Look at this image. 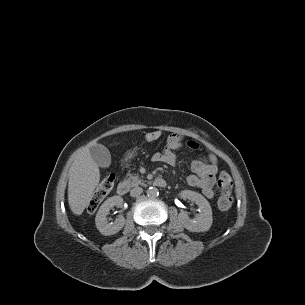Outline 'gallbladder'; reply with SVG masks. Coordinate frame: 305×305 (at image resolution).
<instances>
[{"mask_svg":"<svg viewBox=\"0 0 305 305\" xmlns=\"http://www.w3.org/2000/svg\"><path fill=\"white\" fill-rule=\"evenodd\" d=\"M90 154L98 166L108 168L111 165V154L105 146L101 144L91 146Z\"/></svg>","mask_w":305,"mask_h":305,"instance_id":"obj_1","label":"gallbladder"}]
</instances>
